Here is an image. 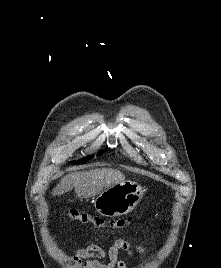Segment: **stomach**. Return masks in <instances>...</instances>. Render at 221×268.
Wrapping results in <instances>:
<instances>
[{
  "label": "stomach",
  "instance_id": "0dacf381",
  "mask_svg": "<svg viewBox=\"0 0 221 268\" xmlns=\"http://www.w3.org/2000/svg\"><path fill=\"white\" fill-rule=\"evenodd\" d=\"M144 189L136 182L124 181L101 192L94 200L95 210L106 217L131 212L143 197Z\"/></svg>",
  "mask_w": 221,
  "mask_h": 268
}]
</instances>
